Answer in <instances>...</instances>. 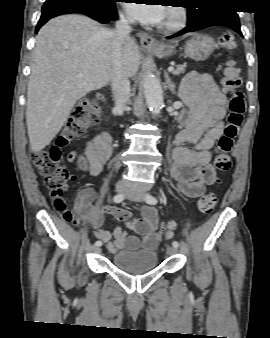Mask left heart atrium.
Returning a JSON list of instances; mask_svg holds the SVG:
<instances>
[{"label":"left heart atrium","mask_w":270,"mask_h":338,"mask_svg":"<svg viewBox=\"0 0 270 338\" xmlns=\"http://www.w3.org/2000/svg\"><path fill=\"white\" fill-rule=\"evenodd\" d=\"M129 1L137 2L136 0ZM124 4L126 10L134 18L144 23L159 24L165 15L163 7L161 5H145L138 3H124Z\"/></svg>","instance_id":"left-heart-atrium-1"}]
</instances>
